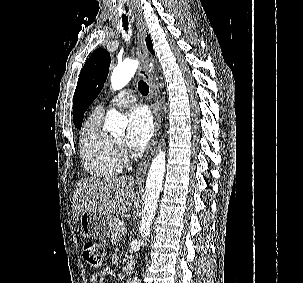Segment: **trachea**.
<instances>
[{
	"mask_svg": "<svg viewBox=\"0 0 303 283\" xmlns=\"http://www.w3.org/2000/svg\"><path fill=\"white\" fill-rule=\"evenodd\" d=\"M122 21H123V27L125 30H128V19L127 17H122ZM138 89L140 91V93L144 96L148 95L149 93V86L147 85V83L143 80H140L138 83Z\"/></svg>",
	"mask_w": 303,
	"mask_h": 283,
	"instance_id": "1",
	"label": "trachea"
}]
</instances>
